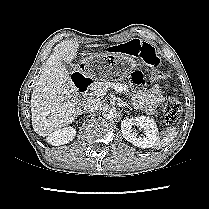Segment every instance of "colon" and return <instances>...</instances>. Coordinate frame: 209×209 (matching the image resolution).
<instances>
[{
    "mask_svg": "<svg viewBox=\"0 0 209 209\" xmlns=\"http://www.w3.org/2000/svg\"><path fill=\"white\" fill-rule=\"evenodd\" d=\"M105 51L108 54L120 52L128 56L139 57L145 64L151 67H156L160 63V59L156 52L155 47L146 41H141L138 39H134L120 46L118 44L108 45L105 48ZM157 75L160 77L165 76L162 73H158ZM180 115H181L180 101L176 97L169 96L166 99L163 107L164 122L167 125H174L179 120Z\"/></svg>",
    "mask_w": 209,
    "mask_h": 209,
    "instance_id": "1",
    "label": "colon"
}]
</instances>
